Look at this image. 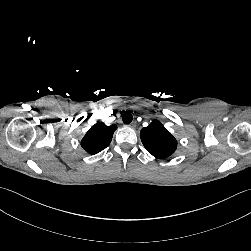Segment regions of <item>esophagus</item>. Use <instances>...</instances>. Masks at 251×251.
<instances>
[{
  "label": "esophagus",
  "instance_id": "1",
  "mask_svg": "<svg viewBox=\"0 0 251 251\" xmlns=\"http://www.w3.org/2000/svg\"><path fill=\"white\" fill-rule=\"evenodd\" d=\"M128 126H129L130 128H135V127H136V122L133 121V122L130 123Z\"/></svg>",
  "mask_w": 251,
  "mask_h": 251
}]
</instances>
